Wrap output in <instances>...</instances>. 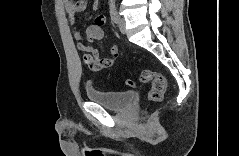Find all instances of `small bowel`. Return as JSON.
Masks as SVG:
<instances>
[{"instance_id": "c3829d8e", "label": "small bowel", "mask_w": 239, "mask_h": 156, "mask_svg": "<svg viewBox=\"0 0 239 156\" xmlns=\"http://www.w3.org/2000/svg\"><path fill=\"white\" fill-rule=\"evenodd\" d=\"M63 6L68 15L69 22L73 25V37L78 41V49L83 52V61L92 71H100L113 66L118 55L119 49L117 45H111L109 49V55L107 57L100 56L99 50L92 45L93 42L102 40L104 38V30L102 25L106 19L103 16H98L95 19V23L88 26L85 30V39L88 44L81 42L82 32L77 25L76 15L82 13L87 8V2L85 0L63 1Z\"/></svg>"}]
</instances>
